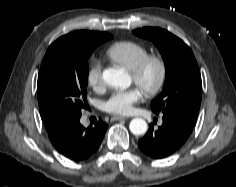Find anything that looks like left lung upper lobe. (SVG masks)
I'll use <instances>...</instances> for the list:
<instances>
[{"instance_id":"1","label":"left lung upper lobe","mask_w":236,"mask_h":187,"mask_svg":"<svg viewBox=\"0 0 236 187\" xmlns=\"http://www.w3.org/2000/svg\"><path fill=\"white\" fill-rule=\"evenodd\" d=\"M133 33L158 47L166 68L161 94L150 104L155 114L171 115L194 125L202 97V82L191 49L172 33L154 27L136 29Z\"/></svg>"}]
</instances>
